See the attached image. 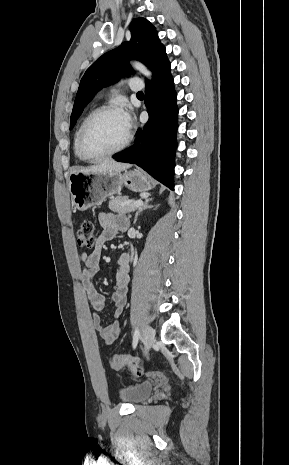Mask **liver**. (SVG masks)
Wrapping results in <instances>:
<instances>
[{
  "label": "liver",
  "instance_id": "liver-1",
  "mask_svg": "<svg viewBox=\"0 0 289 465\" xmlns=\"http://www.w3.org/2000/svg\"><path fill=\"white\" fill-rule=\"evenodd\" d=\"M131 167V164L129 163H120L116 162L114 160H106L103 161L102 163L85 168V169H79L73 171V173L76 172H82V173H95V172H121L123 170H126Z\"/></svg>",
  "mask_w": 289,
  "mask_h": 465
}]
</instances>
